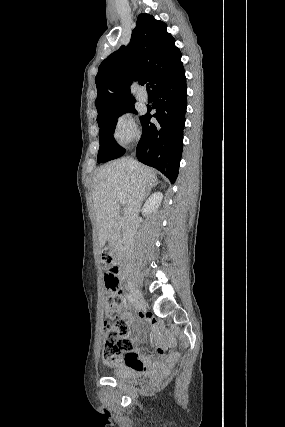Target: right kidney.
Masks as SVG:
<instances>
[{"instance_id": "right-kidney-1", "label": "right kidney", "mask_w": 285, "mask_h": 427, "mask_svg": "<svg viewBox=\"0 0 285 427\" xmlns=\"http://www.w3.org/2000/svg\"><path fill=\"white\" fill-rule=\"evenodd\" d=\"M163 199V194L161 192H156L152 194L143 207V214L148 215L152 212H155L156 209L160 206Z\"/></svg>"}]
</instances>
